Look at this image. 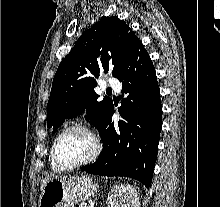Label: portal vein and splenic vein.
<instances>
[{
    "label": "portal vein and splenic vein",
    "instance_id": "18ae733b",
    "mask_svg": "<svg viewBox=\"0 0 220 207\" xmlns=\"http://www.w3.org/2000/svg\"><path fill=\"white\" fill-rule=\"evenodd\" d=\"M89 207H93V204H91Z\"/></svg>",
    "mask_w": 220,
    "mask_h": 207
}]
</instances>
